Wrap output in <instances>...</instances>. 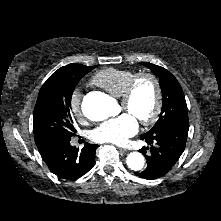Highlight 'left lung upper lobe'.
<instances>
[{
    "label": "left lung upper lobe",
    "mask_w": 221,
    "mask_h": 221,
    "mask_svg": "<svg viewBox=\"0 0 221 221\" xmlns=\"http://www.w3.org/2000/svg\"><path fill=\"white\" fill-rule=\"evenodd\" d=\"M142 64L151 69L159 78L163 100L159 119L148 132L161 130L180 121L188 122L186 100L183 90L176 78L163 67L149 62H142Z\"/></svg>",
    "instance_id": "5c2ea615"
}]
</instances>
